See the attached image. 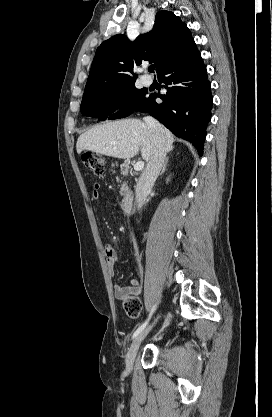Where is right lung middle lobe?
<instances>
[{
	"label": "right lung middle lobe",
	"instance_id": "1",
	"mask_svg": "<svg viewBox=\"0 0 272 417\" xmlns=\"http://www.w3.org/2000/svg\"><path fill=\"white\" fill-rule=\"evenodd\" d=\"M146 89H137L135 85L111 91H100L85 94L80 110L84 116H92L98 119H105L118 108L124 109L109 116V119L126 117L133 110L138 111L148 98Z\"/></svg>",
	"mask_w": 272,
	"mask_h": 417
}]
</instances>
